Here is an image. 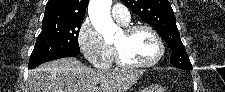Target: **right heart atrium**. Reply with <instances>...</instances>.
<instances>
[{
    "label": "right heart atrium",
    "instance_id": "obj_1",
    "mask_svg": "<svg viewBox=\"0 0 225 92\" xmlns=\"http://www.w3.org/2000/svg\"><path fill=\"white\" fill-rule=\"evenodd\" d=\"M78 43L87 60L96 67H108L113 60V48L102 38L89 20L78 31Z\"/></svg>",
    "mask_w": 225,
    "mask_h": 92
}]
</instances>
